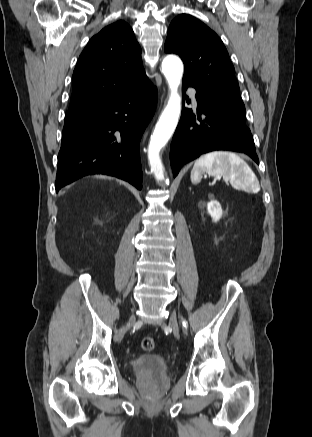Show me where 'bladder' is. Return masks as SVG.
<instances>
[{"label": "bladder", "mask_w": 312, "mask_h": 437, "mask_svg": "<svg viewBox=\"0 0 312 437\" xmlns=\"http://www.w3.org/2000/svg\"><path fill=\"white\" fill-rule=\"evenodd\" d=\"M131 368L139 375H164L169 370V364L160 355L145 353L132 361Z\"/></svg>", "instance_id": "obj_1"}]
</instances>
